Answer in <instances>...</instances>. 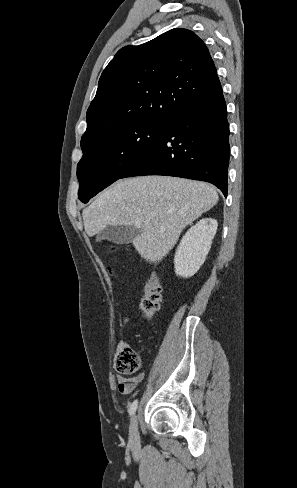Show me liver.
Listing matches in <instances>:
<instances>
[{
    "label": "liver",
    "instance_id": "obj_1",
    "mask_svg": "<svg viewBox=\"0 0 297 488\" xmlns=\"http://www.w3.org/2000/svg\"><path fill=\"white\" fill-rule=\"evenodd\" d=\"M218 201L216 189L199 181L143 176L118 180L83 210L89 236L108 226L134 225L139 254L159 262L176 244L182 230ZM153 213V216H150Z\"/></svg>",
    "mask_w": 297,
    "mask_h": 488
}]
</instances>
